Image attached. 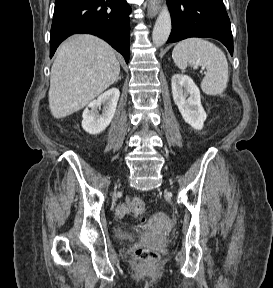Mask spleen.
<instances>
[{
	"label": "spleen",
	"instance_id": "obj_1",
	"mask_svg": "<svg viewBox=\"0 0 273 288\" xmlns=\"http://www.w3.org/2000/svg\"><path fill=\"white\" fill-rule=\"evenodd\" d=\"M172 58L182 70L198 65L206 68L201 82L205 94L219 95L227 87L228 62L224 52L215 44L201 38H188L174 47Z\"/></svg>",
	"mask_w": 273,
	"mask_h": 288
}]
</instances>
